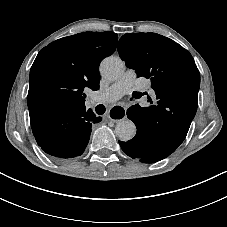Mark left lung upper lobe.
<instances>
[{"label":"left lung upper lobe","mask_w":227,"mask_h":227,"mask_svg":"<svg viewBox=\"0 0 227 227\" xmlns=\"http://www.w3.org/2000/svg\"><path fill=\"white\" fill-rule=\"evenodd\" d=\"M118 52L138 77L151 79L158 101L146 108L157 117L170 111L178 115L176 120L183 122L178 129L158 120L161 124L156 128L163 139L180 144L198 105L200 73L190 52L156 33H127L120 38Z\"/></svg>","instance_id":"1"}]
</instances>
